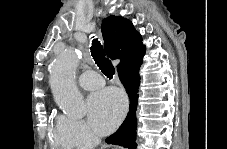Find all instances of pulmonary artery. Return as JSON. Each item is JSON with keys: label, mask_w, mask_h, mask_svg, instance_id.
<instances>
[{"label": "pulmonary artery", "mask_w": 227, "mask_h": 149, "mask_svg": "<svg viewBox=\"0 0 227 149\" xmlns=\"http://www.w3.org/2000/svg\"><path fill=\"white\" fill-rule=\"evenodd\" d=\"M79 84L86 90H95L104 85V80L94 71H85L79 76Z\"/></svg>", "instance_id": "1"}]
</instances>
